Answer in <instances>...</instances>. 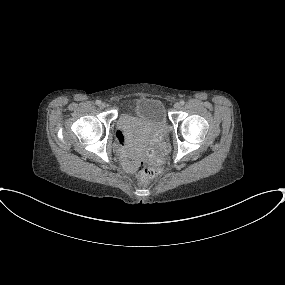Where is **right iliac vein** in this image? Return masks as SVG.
Here are the masks:
<instances>
[{
  "instance_id": "obj_1",
  "label": "right iliac vein",
  "mask_w": 285,
  "mask_h": 285,
  "mask_svg": "<svg viewBox=\"0 0 285 285\" xmlns=\"http://www.w3.org/2000/svg\"><path fill=\"white\" fill-rule=\"evenodd\" d=\"M99 106H100L101 108H105V107H106V103L102 102V103H100Z\"/></svg>"
}]
</instances>
